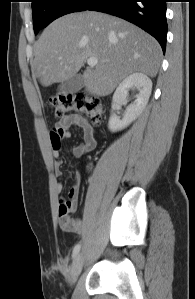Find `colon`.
<instances>
[{"instance_id":"colon-1","label":"colon","mask_w":195,"mask_h":299,"mask_svg":"<svg viewBox=\"0 0 195 299\" xmlns=\"http://www.w3.org/2000/svg\"><path fill=\"white\" fill-rule=\"evenodd\" d=\"M56 117H63L68 113L85 115L94 122L99 123L102 118L104 106L98 100L88 96L85 92L65 93L53 96L49 100ZM62 201L60 202V206ZM69 206L60 210V215H68Z\"/></svg>"}]
</instances>
